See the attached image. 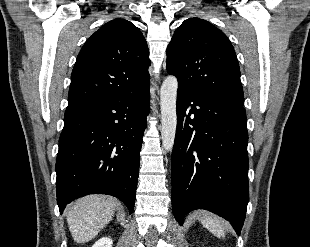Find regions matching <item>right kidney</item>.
<instances>
[{"mask_svg": "<svg viewBox=\"0 0 310 247\" xmlns=\"http://www.w3.org/2000/svg\"><path fill=\"white\" fill-rule=\"evenodd\" d=\"M113 241L111 238L103 237L97 240L92 247H112Z\"/></svg>", "mask_w": 310, "mask_h": 247, "instance_id": "ca27d5eb", "label": "right kidney"}]
</instances>
